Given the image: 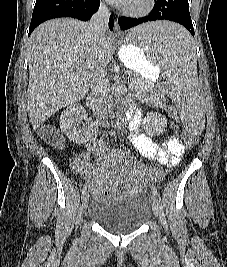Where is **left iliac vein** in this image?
<instances>
[{
  "label": "left iliac vein",
  "instance_id": "left-iliac-vein-1",
  "mask_svg": "<svg viewBox=\"0 0 227 267\" xmlns=\"http://www.w3.org/2000/svg\"><path fill=\"white\" fill-rule=\"evenodd\" d=\"M152 210L153 213L158 216L159 214V202L156 200V198L153 196L152 197Z\"/></svg>",
  "mask_w": 227,
  "mask_h": 267
}]
</instances>
